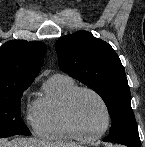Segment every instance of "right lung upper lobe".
I'll return each mask as SVG.
<instances>
[{
    "label": "right lung upper lobe",
    "instance_id": "cb5924a9",
    "mask_svg": "<svg viewBox=\"0 0 145 147\" xmlns=\"http://www.w3.org/2000/svg\"><path fill=\"white\" fill-rule=\"evenodd\" d=\"M46 45L43 42L11 40L0 48V92L30 86L40 71Z\"/></svg>",
    "mask_w": 145,
    "mask_h": 147
}]
</instances>
